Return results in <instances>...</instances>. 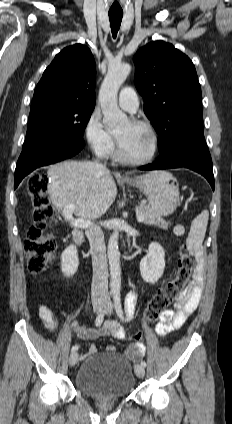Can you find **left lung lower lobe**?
Masks as SVG:
<instances>
[{
	"mask_svg": "<svg viewBox=\"0 0 232 424\" xmlns=\"http://www.w3.org/2000/svg\"><path fill=\"white\" fill-rule=\"evenodd\" d=\"M161 156L141 170H160L185 167L203 175L215 188L212 159L205 142L203 126L187 128L173 137L167 146L159 150Z\"/></svg>",
	"mask_w": 232,
	"mask_h": 424,
	"instance_id": "0a47b994",
	"label": "left lung lower lobe"
}]
</instances>
